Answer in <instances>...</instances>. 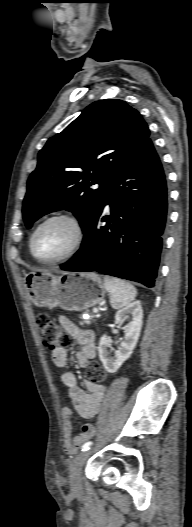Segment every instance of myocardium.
<instances>
[{
    "instance_id": "1",
    "label": "myocardium",
    "mask_w": 192,
    "mask_h": 527,
    "mask_svg": "<svg viewBox=\"0 0 192 527\" xmlns=\"http://www.w3.org/2000/svg\"><path fill=\"white\" fill-rule=\"evenodd\" d=\"M56 219H64V220L69 221L72 224L74 231H75V237H74L73 243L65 253L55 258H52V259L40 258L35 251L36 236L39 230L45 224H47L48 222L52 220H56ZM84 240H85V227L81 219L74 213L67 212V211H59V212L50 214L49 216L45 217L43 220H41L37 224V226L34 228L31 234L29 246H30V251H31L32 256L38 262L43 263V264H55V263H59L61 261L67 260L71 258L73 255H75L79 251L81 246L83 245Z\"/></svg>"
}]
</instances>
